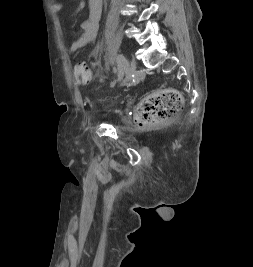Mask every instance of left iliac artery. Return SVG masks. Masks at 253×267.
<instances>
[{
	"label": "left iliac artery",
	"instance_id": "left-iliac-artery-1",
	"mask_svg": "<svg viewBox=\"0 0 253 267\" xmlns=\"http://www.w3.org/2000/svg\"><path fill=\"white\" fill-rule=\"evenodd\" d=\"M126 62H127V60H126L124 55L121 56L120 58H117V64H118V67H119L118 79H121L122 76H123V73H124V70H125V67H126Z\"/></svg>",
	"mask_w": 253,
	"mask_h": 267
}]
</instances>
